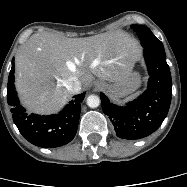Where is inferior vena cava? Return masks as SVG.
<instances>
[{"instance_id":"1","label":"inferior vena cava","mask_w":187,"mask_h":187,"mask_svg":"<svg viewBox=\"0 0 187 187\" xmlns=\"http://www.w3.org/2000/svg\"><path fill=\"white\" fill-rule=\"evenodd\" d=\"M66 88L72 93H78L81 90V82L76 77L67 80Z\"/></svg>"}]
</instances>
